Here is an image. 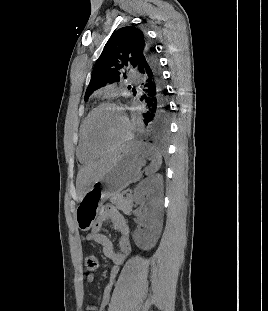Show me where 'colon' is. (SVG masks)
Here are the masks:
<instances>
[{
  "instance_id": "1",
  "label": "colon",
  "mask_w": 268,
  "mask_h": 311,
  "mask_svg": "<svg viewBox=\"0 0 268 311\" xmlns=\"http://www.w3.org/2000/svg\"><path fill=\"white\" fill-rule=\"evenodd\" d=\"M99 265L98 257L94 254L88 255L85 259V269L91 273L97 269Z\"/></svg>"
}]
</instances>
